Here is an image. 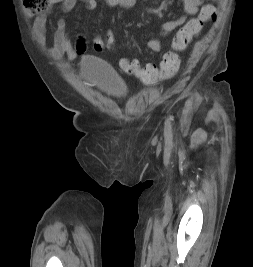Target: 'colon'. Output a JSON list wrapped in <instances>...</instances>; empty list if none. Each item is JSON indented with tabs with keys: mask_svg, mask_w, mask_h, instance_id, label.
<instances>
[{
	"mask_svg": "<svg viewBox=\"0 0 253 267\" xmlns=\"http://www.w3.org/2000/svg\"><path fill=\"white\" fill-rule=\"evenodd\" d=\"M62 2V0H23V6L27 10L41 12L49 8L53 3ZM217 11L214 5L206 4L201 8L199 15L190 19L175 34L172 41V49L167 52L160 65H147L142 68L138 61L132 58H122L120 66L126 73L139 77L145 82H154L159 79H168L173 77L180 66V52L184 51L193 38L198 35L204 25L216 18ZM93 49L96 52L104 50H118L117 42L113 32L98 36L93 40Z\"/></svg>",
	"mask_w": 253,
	"mask_h": 267,
	"instance_id": "obj_1",
	"label": "colon"
}]
</instances>
